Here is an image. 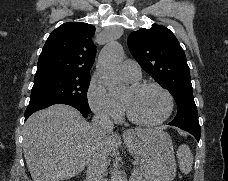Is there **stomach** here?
I'll return each mask as SVG.
<instances>
[{
	"mask_svg": "<svg viewBox=\"0 0 228 181\" xmlns=\"http://www.w3.org/2000/svg\"><path fill=\"white\" fill-rule=\"evenodd\" d=\"M129 153L145 171L141 181H174L176 161L170 135L164 131H128L123 137Z\"/></svg>",
	"mask_w": 228,
	"mask_h": 181,
	"instance_id": "stomach-1",
	"label": "stomach"
}]
</instances>
